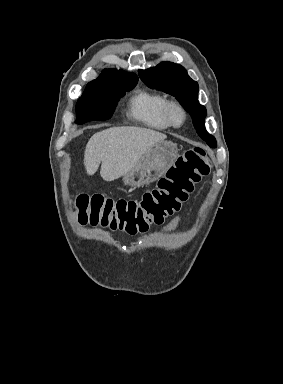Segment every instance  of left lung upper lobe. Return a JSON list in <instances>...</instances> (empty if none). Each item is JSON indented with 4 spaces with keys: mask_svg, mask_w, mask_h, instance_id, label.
Masks as SVG:
<instances>
[{
    "mask_svg": "<svg viewBox=\"0 0 283 384\" xmlns=\"http://www.w3.org/2000/svg\"><path fill=\"white\" fill-rule=\"evenodd\" d=\"M139 75L150 88L175 96L192 116L198 135L210 147L215 148L217 146L215 138L205 129L206 108L200 105L197 100L198 83L188 76L184 67L172 62H161L156 67L140 70Z\"/></svg>",
    "mask_w": 283,
    "mask_h": 384,
    "instance_id": "5c2ea615",
    "label": "left lung upper lobe"
}]
</instances>
